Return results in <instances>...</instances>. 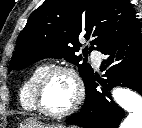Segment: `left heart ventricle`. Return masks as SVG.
I'll use <instances>...</instances> for the list:
<instances>
[{"label": "left heart ventricle", "mask_w": 142, "mask_h": 128, "mask_svg": "<svg viewBox=\"0 0 142 128\" xmlns=\"http://www.w3.org/2000/svg\"><path fill=\"white\" fill-rule=\"evenodd\" d=\"M75 98V86L70 75L64 72L53 74L42 92L43 107L54 113L67 110Z\"/></svg>", "instance_id": "b2bd125f"}]
</instances>
